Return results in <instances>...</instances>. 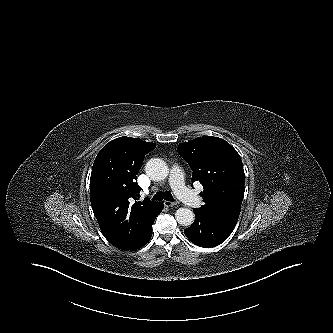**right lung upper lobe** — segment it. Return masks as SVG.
Wrapping results in <instances>:
<instances>
[{"label": "right lung upper lobe", "mask_w": 333, "mask_h": 333, "mask_svg": "<svg viewBox=\"0 0 333 333\" xmlns=\"http://www.w3.org/2000/svg\"><path fill=\"white\" fill-rule=\"evenodd\" d=\"M156 145L138 138L119 137L98 153L91 172L90 198L105 238L115 247H135L160 213L162 203L138 201L137 183L146 153Z\"/></svg>", "instance_id": "cb5924a9"}]
</instances>
